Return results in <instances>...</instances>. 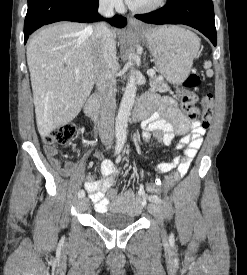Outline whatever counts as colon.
<instances>
[{
  "mask_svg": "<svg viewBox=\"0 0 247 275\" xmlns=\"http://www.w3.org/2000/svg\"><path fill=\"white\" fill-rule=\"evenodd\" d=\"M200 84V77L196 73H190L185 78L181 87L178 90L181 107L189 118L196 119L199 116V111L196 108L198 101L197 94L194 92ZM202 126L208 128L213 117L214 99L212 94H207L202 98ZM76 134V127L73 124H65L55 128L44 137V142L47 145H63L70 142ZM177 172L171 173L163 182L150 183L144 186L147 193H159L163 190L171 188L178 180Z\"/></svg>",
  "mask_w": 247,
  "mask_h": 275,
  "instance_id": "colon-1",
  "label": "colon"
}]
</instances>
